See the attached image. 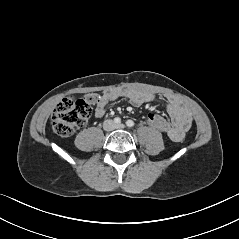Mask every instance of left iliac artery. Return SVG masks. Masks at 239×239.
Masks as SVG:
<instances>
[{"label":"left iliac artery","mask_w":239,"mask_h":239,"mask_svg":"<svg viewBox=\"0 0 239 239\" xmlns=\"http://www.w3.org/2000/svg\"><path fill=\"white\" fill-rule=\"evenodd\" d=\"M126 125L131 128L134 126V122L132 120H127Z\"/></svg>","instance_id":"1"}]
</instances>
